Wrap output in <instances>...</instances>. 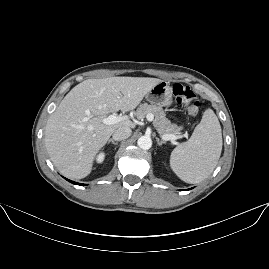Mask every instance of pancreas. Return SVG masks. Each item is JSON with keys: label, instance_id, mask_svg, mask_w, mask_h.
<instances>
[{"label": "pancreas", "instance_id": "pancreas-1", "mask_svg": "<svg viewBox=\"0 0 269 269\" xmlns=\"http://www.w3.org/2000/svg\"><path fill=\"white\" fill-rule=\"evenodd\" d=\"M148 113L154 115L153 126L161 136L164 134L176 135L181 131L182 128L176 124H172L171 121L166 118L164 110L159 106L144 103L141 104L136 111L138 119L145 118Z\"/></svg>", "mask_w": 269, "mask_h": 269}]
</instances>
